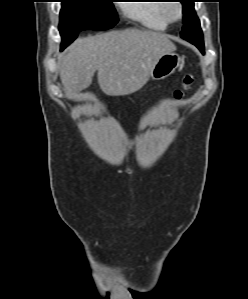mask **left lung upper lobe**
<instances>
[{
	"label": "left lung upper lobe",
	"instance_id": "5c2ea615",
	"mask_svg": "<svg viewBox=\"0 0 248 299\" xmlns=\"http://www.w3.org/2000/svg\"><path fill=\"white\" fill-rule=\"evenodd\" d=\"M195 0H180L183 4L184 26L181 31V37L204 53L203 33L200 27V21L194 10Z\"/></svg>",
	"mask_w": 248,
	"mask_h": 299
}]
</instances>
